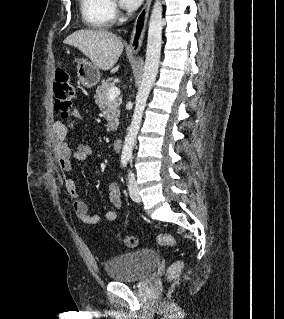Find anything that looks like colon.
Segmentation results:
<instances>
[{
	"mask_svg": "<svg viewBox=\"0 0 284 319\" xmlns=\"http://www.w3.org/2000/svg\"><path fill=\"white\" fill-rule=\"evenodd\" d=\"M53 87L55 96V110L62 118H67L74 104L75 89L71 83L69 74L65 70L58 69L56 71ZM122 242L128 248H135L138 245V239L133 236L123 237ZM156 242L161 246H177L175 238L167 233L158 234L156 236ZM182 267V262L176 261L168 268L167 278L170 282L177 280Z\"/></svg>",
	"mask_w": 284,
	"mask_h": 319,
	"instance_id": "5ec220e1",
	"label": "colon"
}]
</instances>
